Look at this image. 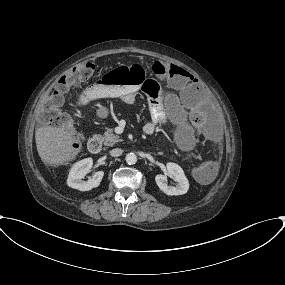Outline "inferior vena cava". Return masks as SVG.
I'll return each instance as SVG.
<instances>
[{
    "mask_svg": "<svg viewBox=\"0 0 285 285\" xmlns=\"http://www.w3.org/2000/svg\"><path fill=\"white\" fill-rule=\"evenodd\" d=\"M123 153V150L120 148H115L110 151L111 156L118 157Z\"/></svg>",
    "mask_w": 285,
    "mask_h": 285,
    "instance_id": "inferior-vena-cava-1",
    "label": "inferior vena cava"
}]
</instances>
